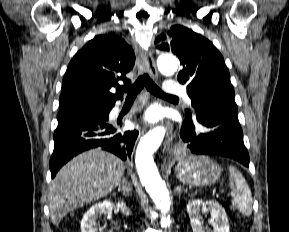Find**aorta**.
Wrapping results in <instances>:
<instances>
[{
  "instance_id": "1",
  "label": "aorta",
  "mask_w": 289,
  "mask_h": 232,
  "mask_svg": "<svg viewBox=\"0 0 289 232\" xmlns=\"http://www.w3.org/2000/svg\"><path fill=\"white\" fill-rule=\"evenodd\" d=\"M158 68L165 75H173L177 71L178 63L174 57H161ZM164 135L165 128L160 126L142 137L136 150L135 164L140 181L156 207L162 213H167L171 205L169 192L153 160V153L159 148ZM170 224L169 218H162V227H169Z\"/></svg>"
}]
</instances>
